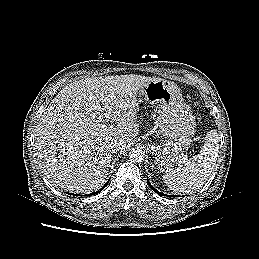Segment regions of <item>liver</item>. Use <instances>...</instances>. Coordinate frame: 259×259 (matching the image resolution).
<instances>
[{
    "label": "liver",
    "instance_id": "obj_1",
    "mask_svg": "<svg viewBox=\"0 0 259 259\" xmlns=\"http://www.w3.org/2000/svg\"><path fill=\"white\" fill-rule=\"evenodd\" d=\"M155 78L141 75L94 77L69 83L42 114L35 129L42 173L67 191L99 189L111 162L110 145L125 151L139 133V90ZM115 125L107 127L102 122Z\"/></svg>",
    "mask_w": 259,
    "mask_h": 259
}]
</instances>
